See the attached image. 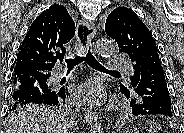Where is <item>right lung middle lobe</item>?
<instances>
[{"instance_id": "obj_1", "label": "right lung middle lobe", "mask_w": 184, "mask_h": 133, "mask_svg": "<svg viewBox=\"0 0 184 133\" xmlns=\"http://www.w3.org/2000/svg\"><path fill=\"white\" fill-rule=\"evenodd\" d=\"M20 75V74H19ZM35 79L38 82V85L45 88V89H49L48 85H47V80L45 78H43V76H35ZM20 85L19 80H18V75H15L14 78V89L18 88ZM32 105V104H23V103H18V104H14L11 103L10 105V111L11 110H15L16 113L20 112V111H26L27 106Z\"/></svg>"}]
</instances>
